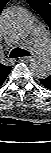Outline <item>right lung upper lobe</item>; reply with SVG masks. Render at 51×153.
<instances>
[{
	"instance_id": "obj_1",
	"label": "right lung upper lobe",
	"mask_w": 51,
	"mask_h": 153,
	"mask_svg": "<svg viewBox=\"0 0 51 153\" xmlns=\"http://www.w3.org/2000/svg\"><path fill=\"white\" fill-rule=\"evenodd\" d=\"M8 1L9 0H0V12L2 11V9L4 8V6L6 5V3ZM10 70H11L10 66H5V65L1 64V62H0V86L4 83Z\"/></svg>"
}]
</instances>
